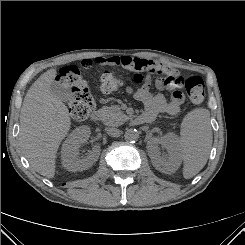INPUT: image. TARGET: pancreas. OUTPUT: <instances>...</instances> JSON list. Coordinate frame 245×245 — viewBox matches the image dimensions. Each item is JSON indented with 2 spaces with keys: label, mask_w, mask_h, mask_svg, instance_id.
I'll use <instances>...</instances> for the list:
<instances>
[{
  "label": "pancreas",
  "mask_w": 245,
  "mask_h": 245,
  "mask_svg": "<svg viewBox=\"0 0 245 245\" xmlns=\"http://www.w3.org/2000/svg\"><path fill=\"white\" fill-rule=\"evenodd\" d=\"M101 120L107 126H118L125 122L126 115L120 110L119 106L103 107L99 110Z\"/></svg>",
  "instance_id": "cf45deb5"
}]
</instances>
